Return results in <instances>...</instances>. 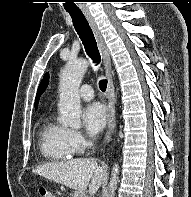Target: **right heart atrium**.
Segmentation results:
<instances>
[{
  "label": "right heart atrium",
  "mask_w": 191,
  "mask_h": 197,
  "mask_svg": "<svg viewBox=\"0 0 191 197\" xmlns=\"http://www.w3.org/2000/svg\"><path fill=\"white\" fill-rule=\"evenodd\" d=\"M66 141L73 153H83L90 145V140L75 130H67Z\"/></svg>",
  "instance_id": "obj_1"
}]
</instances>
